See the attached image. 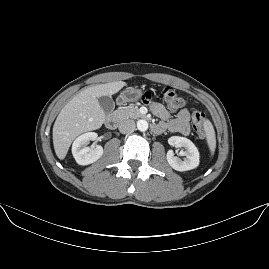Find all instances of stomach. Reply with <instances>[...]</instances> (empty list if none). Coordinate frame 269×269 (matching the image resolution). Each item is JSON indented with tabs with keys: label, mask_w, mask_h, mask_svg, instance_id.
Listing matches in <instances>:
<instances>
[{
	"label": "stomach",
	"mask_w": 269,
	"mask_h": 269,
	"mask_svg": "<svg viewBox=\"0 0 269 269\" xmlns=\"http://www.w3.org/2000/svg\"><path fill=\"white\" fill-rule=\"evenodd\" d=\"M140 95V91L137 89H128L125 90L124 92L121 93V95L118 98V101L120 102V104L125 103V102H129V101H134L136 99H138Z\"/></svg>",
	"instance_id": "stomach-1"
}]
</instances>
